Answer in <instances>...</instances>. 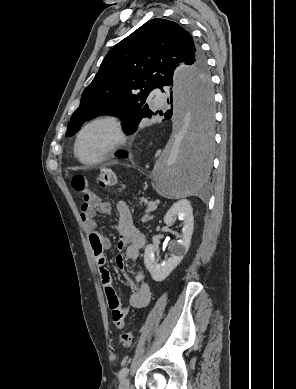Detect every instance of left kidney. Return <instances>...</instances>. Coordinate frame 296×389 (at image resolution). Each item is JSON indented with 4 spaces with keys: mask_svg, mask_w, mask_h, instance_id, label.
<instances>
[{
    "mask_svg": "<svg viewBox=\"0 0 296 389\" xmlns=\"http://www.w3.org/2000/svg\"><path fill=\"white\" fill-rule=\"evenodd\" d=\"M176 218L182 220L184 226L181 239L170 246L171 256L169 258L159 262L158 247L154 244H149L145 248L144 263L156 282H161L169 276L182 261L190 247L194 217L188 200L182 199L174 203L164 216V223L171 225Z\"/></svg>",
    "mask_w": 296,
    "mask_h": 389,
    "instance_id": "1",
    "label": "left kidney"
}]
</instances>
